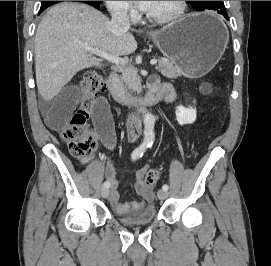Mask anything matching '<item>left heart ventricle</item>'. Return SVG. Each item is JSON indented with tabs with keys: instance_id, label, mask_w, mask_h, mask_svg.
I'll list each match as a JSON object with an SVG mask.
<instances>
[{
	"instance_id": "obj_1",
	"label": "left heart ventricle",
	"mask_w": 271,
	"mask_h": 266,
	"mask_svg": "<svg viewBox=\"0 0 271 266\" xmlns=\"http://www.w3.org/2000/svg\"><path fill=\"white\" fill-rule=\"evenodd\" d=\"M176 1H153L147 13L152 15H166L174 11Z\"/></svg>"
}]
</instances>
